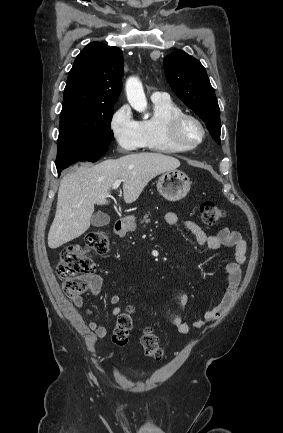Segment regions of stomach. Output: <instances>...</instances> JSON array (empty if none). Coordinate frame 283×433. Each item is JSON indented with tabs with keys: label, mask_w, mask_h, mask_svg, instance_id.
Wrapping results in <instances>:
<instances>
[{
	"label": "stomach",
	"mask_w": 283,
	"mask_h": 433,
	"mask_svg": "<svg viewBox=\"0 0 283 433\" xmlns=\"http://www.w3.org/2000/svg\"><path fill=\"white\" fill-rule=\"evenodd\" d=\"M189 176L182 170H166L157 182V188L167 200H181L190 190ZM123 225L127 231H135L136 223L134 217H125Z\"/></svg>",
	"instance_id": "0dacf381"
}]
</instances>
